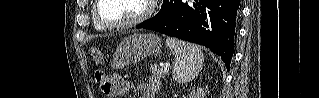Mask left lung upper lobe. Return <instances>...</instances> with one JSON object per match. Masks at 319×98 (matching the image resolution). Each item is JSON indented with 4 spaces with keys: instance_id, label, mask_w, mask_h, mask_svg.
<instances>
[{
    "instance_id": "1",
    "label": "left lung upper lobe",
    "mask_w": 319,
    "mask_h": 98,
    "mask_svg": "<svg viewBox=\"0 0 319 98\" xmlns=\"http://www.w3.org/2000/svg\"><path fill=\"white\" fill-rule=\"evenodd\" d=\"M164 1H165V0H163V3H164ZM162 6H163V5H162ZM161 14H162V7H161V10L159 11V13H158L156 16H154L153 18H151V19H149V20H147V21H145V22H143V23H144V24L152 23V22L156 21L157 19H159V18L161 17Z\"/></svg>"
}]
</instances>
